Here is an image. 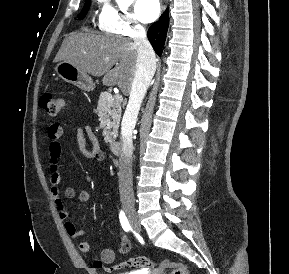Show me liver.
Masks as SVG:
<instances>
[{
    "label": "liver",
    "instance_id": "obj_1",
    "mask_svg": "<svg viewBox=\"0 0 289 274\" xmlns=\"http://www.w3.org/2000/svg\"><path fill=\"white\" fill-rule=\"evenodd\" d=\"M63 60L95 77L104 76V85H117L127 95L136 71L137 46L120 36L73 32L64 39L54 62Z\"/></svg>",
    "mask_w": 289,
    "mask_h": 274
}]
</instances>
